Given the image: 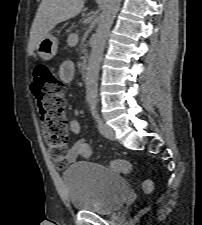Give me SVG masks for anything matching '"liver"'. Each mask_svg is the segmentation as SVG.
<instances>
[{
  "label": "liver",
  "instance_id": "1",
  "mask_svg": "<svg viewBox=\"0 0 202 225\" xmlns=\"http://www.w3.org/2000/svg\"><path fill=\"white\" fill-rule=\"evenodd\" d=\"M85 0H42L30 31L28 53L33 54L39 42L56 25L77 16Z\"/></svg>",
  "mask_w": 202,
  "mask_h": 225
}]
</instances>
